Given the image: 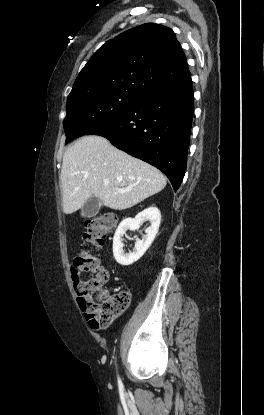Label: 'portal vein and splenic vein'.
<instances>
[{
    "mask_svg": "<svg viewBox=\"0 0 264 415\" xmlns=\"http://www.w3.org/2000/svg\"><path fill=\"white\" fill-rule=\"evenodd\" d=\"M104 184L105 185H107L108 184V181H104ZM117 192H119V193H124L125 192V190H123V189H117Z\"/></svg>",
    "mask_w": 264,
    "mask_h": 415,
    "instance_id": "portal-vein-and-splenic-vein-1",
    "label": "portal vein and splenic vein"
}]
</instances>
